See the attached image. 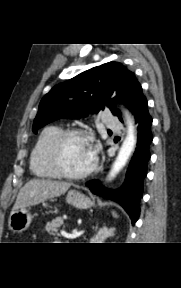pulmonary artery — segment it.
Here are the masks:
<instances>
[{
    "label": "pulmonary artery",
    "mask_w": 181,
    "mask_h": 288,
    "mask_svg": "<svg viewBox=\"0 0 181 288\" xmlns=\"http://www.w3.org/2000/svg\"><path fill=\"white\" fill-rule=\"evenodd\" d=\"M103 121L107 128L109 129H119L120 128V122L116 117H114L110 113H104L103 114Z\"/></svg>",
    "instance_id": "1"
}]
</instances>
